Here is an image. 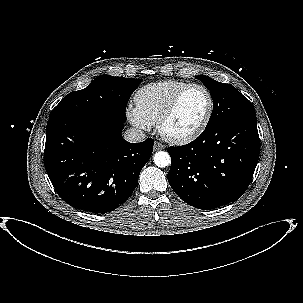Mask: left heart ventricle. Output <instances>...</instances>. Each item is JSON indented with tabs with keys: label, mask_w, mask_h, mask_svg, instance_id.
Masks as SVG:
<instances>
[{
	"label": "left heart ventricle",
	"mask_w": 303,
	"mask_h": 303,
	"mask_svg": "<svg viewBox=\"0 0 303 303\" xmlns=\"http://www.w3.org/2000/svg\"><path fill=\"white\" fill-rule=\"evenodd\" d=\"M208 107L206 94L199 88L190 89L182 98L174 115L165 125L171 135H183L194 130L203 119Z\"/></svg>",
	"instance_id": "1"
}]
</instances>
